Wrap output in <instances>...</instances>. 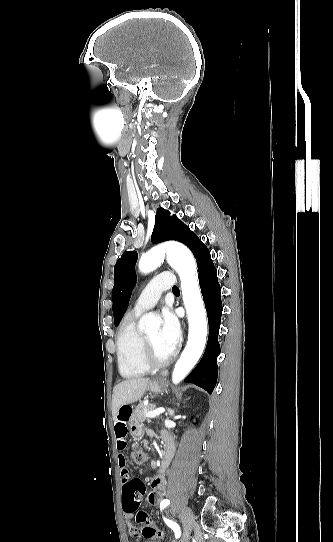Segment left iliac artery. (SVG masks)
<instances>
[{
	"mask_svg": "<svg viewBox=\"0 0 333 542\" xmlns=\"http://www.w3.org/2000/svg\"><path fill=\"white\" fill-rule=\"evenodd\" d=\"M169 503H170L169 500H167V499L163 500V501L160 503V509H161V510L164 509ZM164 521H165V523H166L170 528H172V529L174 530V532H175V537H176V538H179L180 535H181L180 527H179L175 522H173V521H171V520H168V519H166V518H164Z\"/></svg>",
	"mask_w": 333,
	"mask_h": 542,
	"instance_id": "left-iliac-artery-1",
	"label": "left iliac artery"
}]
</instances>
